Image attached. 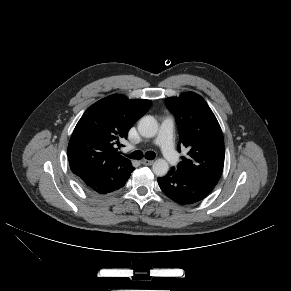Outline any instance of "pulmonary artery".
<instances>
[{"label": "pulmonary artery", "mask_w": 291, "mask_h": 291, "mask_svg": "<svg viewBox=\"0 0 291 291\" xmlns=\"http://www.w3.org/2000/svg\"><path fill=\"white\" fill-rule=\"evenodd\" d=\"M174 117L167 116L161 123L159 133L154 140V144L160 147L165 159L171 165H177L178 156L173 147V129H174Z\"/></svg>", "instance_id": "e3ab8cb5"}]
</instances>
